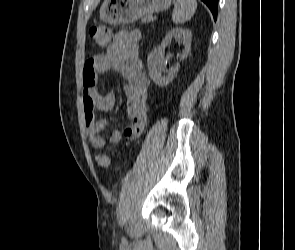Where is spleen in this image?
<instances>
[{
    "label": "spleen",
    "mask_w": 295,
    "mask_h": 250,
    "mask_svg": "<svg viewBox=\"0 0 295 250\" xmlns=\"http://www.w3.org/2000/svg\"><path fill=\"white\" fill-rule=\"evenodd\" d=\"M197 9L196 0H176L172 14L175 24H182L190 20Z\"/></svg>",
    "instance_id": "spleen-1"
}]
</instances>
